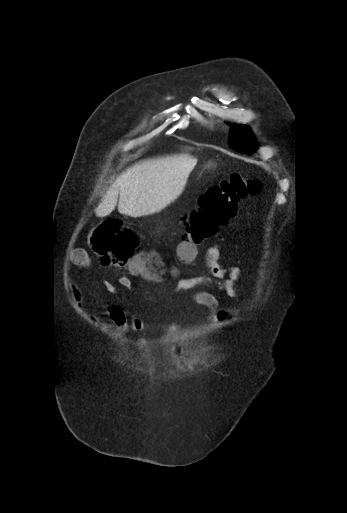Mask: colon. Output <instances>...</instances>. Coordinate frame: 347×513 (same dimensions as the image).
Returning a JSON list of instances; mask_svg holds the SVG:
<instances>
[{
    "instance_id": "1",
    "label": "colon",
    "mask_w": 347,
    "mask_h": 513,
    "mask_svg": "<svg viewBox=\"0 0 347 513\" xmlns=\"http://www.w3.org/2000/svg\"><path fill=\"white\" fill-rule=\"evenodd\" d=\"M262 189L260 181L245 174H232L219 184L202 193L197 205L182 224L183 242L180 254L184 259L195 255V247L218 235L237 213L240 201L257 195ZM91 246L105 264L129 267L133 271L162 279L167 270L159 256L139 257L134 232L117 219H107L91 234Z\"/></svg>"
}]
</instances>
